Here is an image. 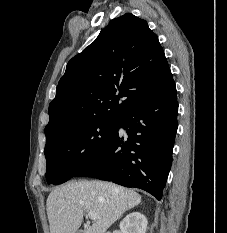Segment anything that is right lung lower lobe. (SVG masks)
I'll list each match as a JSON object with an SVG mask.
<instances>
[{"label":"right lung lower lobe","mask_w":227,"mask_h":233,"mask_svg":"<svg viewBox=\"0 0 227 233\" xmlns=\"http://www.w3.org/2000/svg\"><path fill=\"white\" fill-rule=\"evenodd\" d=\"M177 113L172 81L121 116L108 142L74 177L140 188L160 200L172 164ZM120 128L126 133L119 132Z\"/></svg>","instance_id":"obj_1"}]
</instances>
